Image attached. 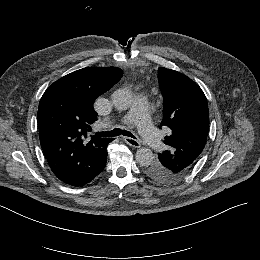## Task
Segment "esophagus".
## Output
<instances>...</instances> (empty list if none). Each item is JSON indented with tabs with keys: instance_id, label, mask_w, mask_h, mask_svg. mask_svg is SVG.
Listing matches in <instances>:
<instances>
[{
	"instance_id": "obj_1",
	"label": "esophagus",
	"mask_w": 260,
	"mask_h": 260,
	"mask_svg": "<svg viewBox=\"0 0 260 260\" xmlns=\"http://www.w3.org/2000/svg\"><path fill=\"white\" fill-rule=\"evenodd\" d=\"M124 141L132 147H140L141 144L137 139L131 137H124Z\"/></svg>"
}]
</instances>
